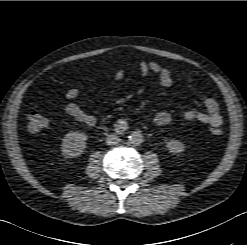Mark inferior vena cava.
<instances>
[{"label": "inferior vena cava", "instance_id": "1", "mask_svg": "<svg viewBox=\"0 0 247 245\" xmlns=\"http://www.w3.org/2000/svg\"><path fill=\"white\" fill-rule=\"evenodd\" d=\"M119 142H120V138L115 134H111L106 137V143L108 145H116Z\"/></svg>", "mask_w": 247, "mask_h": 245}]
</instances>
